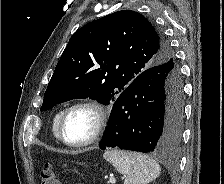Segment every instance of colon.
Wrapping results in <instances>:
<instances>
[{
    "label": "colon",
    "mask_w": 224,
    "mask_h": 184,
    "mask_svg": "<svg viewBox=\"0 0 224 184\" xmlns=\"http://www.w3.org/2000/svg\"><path fill=\"white\" fill-rule=\"evenodd\" d=\"M40 184H60L58 174L52 165H45L40 172Z\"/></svg>",
    "instance_id": "colon-1"
}]
</instances>
